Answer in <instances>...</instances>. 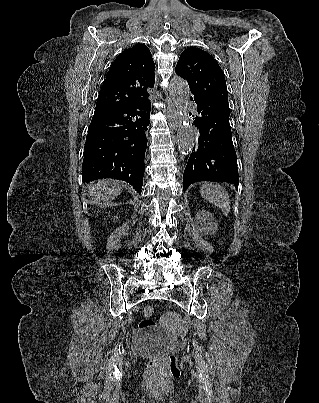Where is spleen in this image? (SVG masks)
Returning a JSON list of instances; mask_svg holds the SVG:
<instances>
[{
    "mask_svg": "<svg viewBox=\"0 0 319 403\" xmlns=\"http://www.w3.org/2000/svg\"><path fill=\"white\" fill-rule=\"evenodd\" d=\"M200 194L205 200L219 207L224 215L229 214L231 208L230 197L226 189L221 185L215 183L205 184L200 188Z\"/></svg>",
    "mask_w": 319,
    "mask_h": 403,
    "instance_id": "obj_1",
    "label": "spleen"
}]
</instances>
